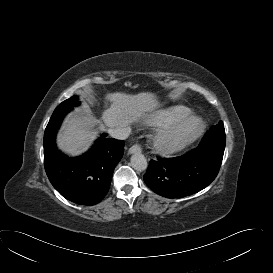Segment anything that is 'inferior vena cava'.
Returning a JSON list of instances; mask_svg holds the SVG:
<instances>
[{
	"instance_id": "602c4592",
	"label": "inferior vena cava",
	"mask_w": 273,
	"mask_h": 273,
	"mask_svg": "<svg viewBox=\"0 0 273 273\" xmlns=\"http://www.w3.org/2000/svg\"><path fill=\"white\" fill-rule=\"evenodd\" d=\"M108 133L112 138L125 140L129 136L130 129L129 128H120V127L110 128L108 130Z\"/></svg>"
}]
</instances>
